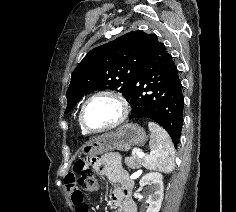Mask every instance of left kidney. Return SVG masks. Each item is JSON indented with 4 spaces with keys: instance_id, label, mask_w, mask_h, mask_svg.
I'll use <instances>...</instances> for the list:
<instances>
[{
    "instance_id": "1",
    "label": "left kidney",
    "mask_w": 236,
    "mask_h": 212,
    "mask_svg": "<svg viewBox=\"0 0 236 212\" xmlns=\"http://www.w3.org/2000/svg\"><path fill=\"white\" fill-rule=\"evenodd\" d=\"M140 187L146 185L150 188V195L148 196V208L146 212H159L163 200V176L158 172H150L144 175L140 182Z\"/></svg>"
}]
</instances>
